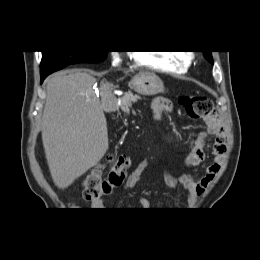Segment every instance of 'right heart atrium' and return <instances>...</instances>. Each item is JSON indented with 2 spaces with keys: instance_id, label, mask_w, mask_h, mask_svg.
Segmentation results:
<instances>
[{
  "instance_id": "right-heart-atrium-1",
  "label": "right heart atrium",
  "mask_w": 260,
  "mask_h": 260,
  "mask_svg": "<svg viewBox=\"0 0 260 260\" xmlns=\"http://www.w3.org/2000/svg\"><path fill=\"white\" fill-rule=\"evenodd\" d=\"M118 62V55L117 54H114L113 55V63H117Z\"/></svg>"
}]
</instances>
